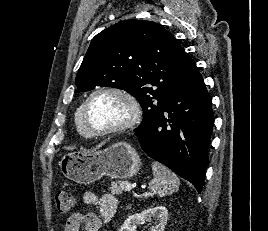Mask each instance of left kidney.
<instances>
[{
    "mask_svg": "<svg viewBox=\"0 0 268 231\" xmlns=\"http://www.w3.org/2000/svg\"><path fill=\"white\" fill-rule=\"evenodd\" d=\"M168 210L165 206H156L142 211L139 214L129 216L119 231H136L137 225L144 223L146 220H153L154 226L150 231H164L167 224Z\"/></svg>",
    "mask_w": 268,
    "mask_h": 231,
    "instance_id": "5707ae66",
    "label": "left kidney"
}]
</instances>
